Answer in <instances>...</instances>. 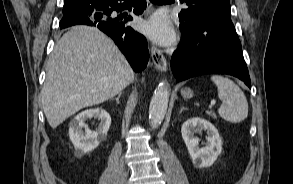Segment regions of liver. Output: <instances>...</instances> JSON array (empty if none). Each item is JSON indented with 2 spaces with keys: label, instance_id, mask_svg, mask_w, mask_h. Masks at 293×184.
I'll return each mask as SVG.
<instances>
[{
  "label": "liver",
  "instance_id": "1",
  "mask_svg": "<svg viewBox=\"0 0 293 184\" xmlns=\"http://www.w3.org/2000/svg\"><path fill=\"white\" fill-rule=\"evenodd\" d=\"M134 72L114 42L96 27L76 26L57 42L41 91L52 129L79 110L121 93Z\"/></svg>",
  "mask_w": 293,
  "mask_h": 184
}]
</instances>
